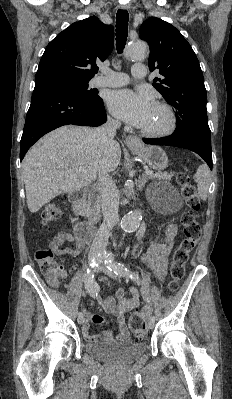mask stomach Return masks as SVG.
<instances>
[{
	"label": "stomach",
	"mask_w": 232,
	"mask_h": 399,
	"mask_svg": "<svg viewBox=\"0 0 232 399\" xmlns=\"http://www.w3.org/2000/svg\"><path fill=\"white\" fill-rule=\"evenodd\" d=\"M132 154L143 160L153 170H164L168 166V158L159 146H144L138 142L136 148H130Z\"/></svg>",
	"instance_id": "obj_1"
}]
</instances>
